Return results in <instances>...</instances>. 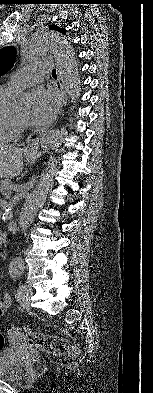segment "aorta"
<instances>
[{"instance_id": "1", "label": "aorta", "mask_w": 153, "mask_h": 393, "mask_svg": "<svg viewBox=\"0 0 153 393\" xmlns=\"http://www.w3.org/2000/svg\"><path fill=\"white\" fill-rule=\"evenodd\" d=\"M49 53L53 54L55 58L58 78L64 84L72 102L76 103L81 95L80 76L74 50L65 37L51 30L35 32L23 43L20 55L24 61L28 62L40 59ZM29 104L30 97L27 94H16L11 100L10 108L14 111H19L27 108ZM62 141V133L58 130H52L42 137L41 145L44 147H57L62 143ZM42 201L43 187L39 184L27 196L21 209L18 221L21 231L25 232L30 226ZM23 262L24 259L21 256H17L14 260H11V274H20L23 268Z\"/></svg>"}]
</instances>
